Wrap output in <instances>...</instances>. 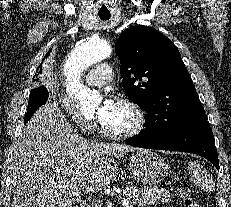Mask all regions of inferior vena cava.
Instances as JSON below:
<instances>
[{"mask_svg": "<svg viewBox=\"0 0 231 207\" xmlns=\"http://www.w3.org/2000/svg\"><path fill=\"white\" fill-rule=\"evenodd\" d=\"M85 132H86V131H84V133H85ZM87 142H89V143H93V141H92V140H91V141H90V140H87Z\"/></svg>", "mask_w": 231, "mask_h": 207, "instance_id": "obj_1", "label": "inferior vena cava"}]
</instances>
